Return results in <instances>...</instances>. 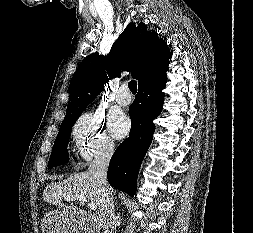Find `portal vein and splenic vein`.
<instances>
[{"instance_id": "portal-vein-and-splenic-vein-1", "label": "portal vein and splenic vein", "mask_w": 253, "mask_h": 233, "mask_svg": "<svg viewBox=\"0 0 253 233\" xmlns=\"http://www.w3.org/2000/svg\"><path fill=\"white\" fill-rule=\"evenodd\" d=\"M64 199L66 201L79 200L81 203H86L87 202V199L82 195H68V196H64ZM88 207L92 211H95L97 209V206L94 203H88Z\"/></svg>"}]
</instances>
